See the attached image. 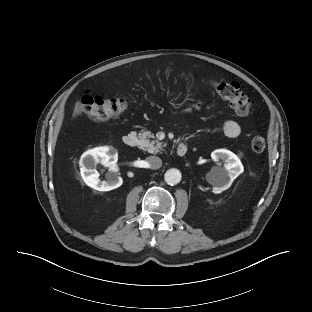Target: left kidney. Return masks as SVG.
<instances>
[{"label": "left kidney", "mask_w": 312, "mask_h": 312, "mask_svg": "<svg viewBox=\"0 0 312 312\" xmlns=\"http://www.w3.org/2000/svg\"><path fill=\"white\" fill-rule=\"evenodd\" d=\"M213 161L222 160L223 167H212L208 177L213 187V193L219 194L228 189L235 178L244 171L240 159L233 152L226 149H217L211 153Z\"/></svg>", "instance_id": "5707ae66"}]
</instances>
